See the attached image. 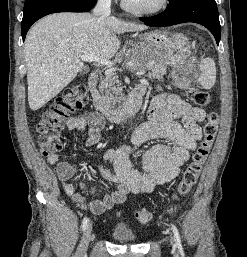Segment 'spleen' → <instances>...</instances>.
Segmentation results:
<instances>
[{"mask_svg":"<svg viewBox=\"0 0 247 257\" xmlns=\"http://www.w3.org/2000/svg\"><path fill=\"white\" fill-rule=\"evenodd\" d=\"M200 75L198 81L204 89H211L216 82V67L213 59L204 58L201 60Z\"/></svg>","mask_w":247,"mask_h":257,"instance_id":"3e777b00","label":"spleen"}]
</instances>
